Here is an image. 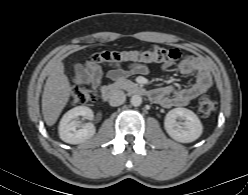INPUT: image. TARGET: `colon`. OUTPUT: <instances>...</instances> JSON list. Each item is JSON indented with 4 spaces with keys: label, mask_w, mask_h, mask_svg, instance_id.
Listing matches in <instances>:
<instances>
[{
    "label": "colon",
    "mask_w": 248,
    "mask_h": 195,
    "mask_svg": "<svg viewBox=\"0 0 248 195\" xmlns=\"http://www.w3.org/2000/svg\"><path fill=\"white\" fill-rule=\"evenodd\" d=\"M184 53L177 48H165L154 45L141 50H105L92 56V61L97 64L122 67L131 64H158L181 59ZM74 105H85L95 98V91L90 88L76 87L71 92ZM198 114L207 118L216 109V103L208 96L198 99Z\"/></svg>",
    "instance_id": "5ec220e1"
}]
</instances>
